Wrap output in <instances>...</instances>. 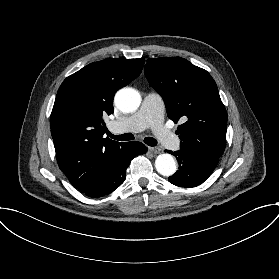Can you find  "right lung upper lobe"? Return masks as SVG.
Listing matches in <instances>:
<instances>
[{"label": "right lung upper lobe", "instance_id": "obj_1", "mask_svg": "<svg viewBox=\"0 0 279 279\" xmlns=\"http://www.w3.org/2000/svg\"><path fill=\"white\" fill-rule=\"evenodd\" d=\"M145 60L107 59L91 63L61 84L51 113V135L61 171L84 193L120 158L128 143L103 138L105 112H113L116 91L138 77Z\"/></svg>", "mask_w": 279, "mask_h": 279}]
</instances>
